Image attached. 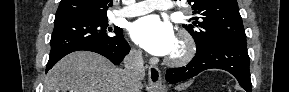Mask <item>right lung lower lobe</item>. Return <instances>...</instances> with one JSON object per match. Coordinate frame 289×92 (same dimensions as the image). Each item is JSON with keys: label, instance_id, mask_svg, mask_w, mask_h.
I'll return each instance as SVG.
<instances>
[{"label": "right lung lower lobe", "instance_id": "1", "mask_svg": "<svg viewBox=\"0 0 289 92\" xmlns=\"http://www.w3.org/2000/svg\"><path fill=\"white\" fill-rule=\"evenodd\" d=\"M79 50H87L99 53L108 58L113 64L118 65L119 63H121L126 54H128L130 47L126 40L123 38V36L119 40L110 44L85 43L82 45L69 47L49 56L46 72L51 69L55 65V63H57L65 55Z\"/></svg>", "mask_w": 289, "mask_h": 92}]
</instances>
